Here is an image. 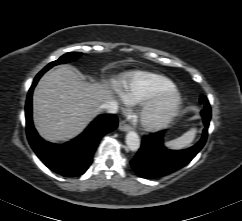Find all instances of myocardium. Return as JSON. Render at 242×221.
<instances>
[{
	"label": "myocardium",
	"instance_id": "1",
	"mask_svg": "<svg viewBox=\"0 0 242 221\" xmlns=\"http://www.w3.org/2000/svg\"><path fill=\"white\" fill-rule=\"evenodd\" d=\"M182 96L176 88L162 92L146 101L138 113V121L147 130L166 126L178 113Z\"/></svg>",
	"mask_w": 242,
	"mask_h": 221
}]
</instances>
